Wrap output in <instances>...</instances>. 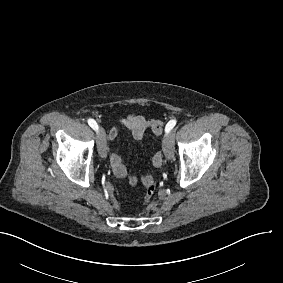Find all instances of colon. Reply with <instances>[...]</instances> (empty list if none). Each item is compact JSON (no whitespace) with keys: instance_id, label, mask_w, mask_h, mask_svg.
<instances>
[{"instance_id":"1","label":"colon","mask_w":283,"mask_h":283,"mask_svg":"<svg viewBox=\"0 0 283 283\" xmlns=\"http://www.w3.org/2000/svg\"><path fill=\"white\" fill-rule=\"evenodd\" d=\"M155 189H156V180L154 175H151L146 179V183H145V193L142 200L144 205H148L152 201L154 197Z\"/></svg>"}]
</instances>
